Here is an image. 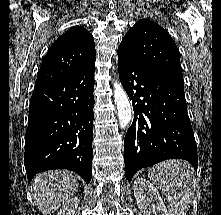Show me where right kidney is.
<instances>
[{
    "mask_svg": "<svg viewBox=\"0 0 221 215\" xmlns=\"http://www.w3.org/2000/svg\"><path fill=\"white\" fill-rule=\"evenodd\" d=\"M79 203L80 200L77 197L70 198L59 210L57 215H74Z\"/></svg>",
    "mask_w": 221,
    "mask_h": 215,
    "instance_id": "right-kidney-1",
    "label": "right kidney"
}]
</instances>
